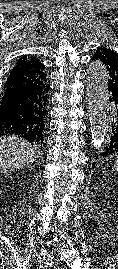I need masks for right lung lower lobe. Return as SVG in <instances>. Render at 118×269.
<instances>
[{"label":"right lung lower lobe","mask_w":118,"mask_h":269,"mask_svg":"<svg viewBox=\"0 0 118 269\" xmlns=\"http://www.w3.org/2000/svg\"><path fill=\"white\" fill-rule=\"evenodd\" d=\"M36 97L37 91L34 89H4L0 100V136L15 134L32 145H42L44 130H37Z\"/></svg>","instance_id":"obj_1"}]
</instances>
